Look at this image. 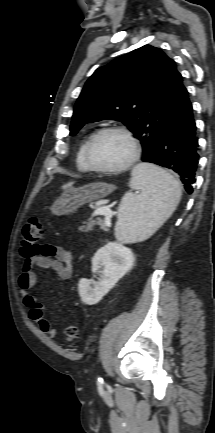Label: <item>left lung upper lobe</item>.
I'll return each mask as SVG.
<instances>
[{"label":"left lung upper lobe","instance_id":"left-lung-upper-lobe-1","mask_svg":"<svg viewBox=\"0 0 215 433\" xmlns=\"http://www.w3.org/2000/svg\"><path fill=\"white\" fill-rule=\"evenodd\" d=\"M182 86L175 62L145 45L94 72L75 105L70 135L86 123L119 120L140 140L143 161H148Z\"/></svg>","mask_w":215,"mask_h":433}]
</instances>
